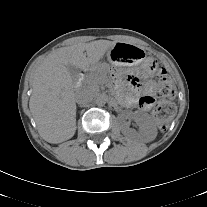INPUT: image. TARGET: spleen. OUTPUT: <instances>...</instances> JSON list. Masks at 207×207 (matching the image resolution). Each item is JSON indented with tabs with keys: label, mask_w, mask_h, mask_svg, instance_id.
Segmentation results:
<instances>
[{
	"label": "spleen",
	"mask_w": 207,
	"mask_h": 207,
	"mask_svg": "<svg viewBox=\"0 0 207 207\" xmlns=\"http://www.w3.org/2000/svg\"><path fill=\"white\" fill-rule=\"evenodd\" d=\"M172 119V117H169V121Z\"/></svg>",
	"instance_id": "1"
}]
</instances>
